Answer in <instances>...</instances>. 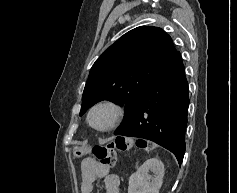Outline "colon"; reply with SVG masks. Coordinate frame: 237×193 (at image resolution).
Here are the masks:
<instances>
[{
	"label": "colon",
	"instance_id": "obj_1",
	"mask_svg": "<svg viewBox=\"0 0 237 193\" xmlns=\"http://www.w3.org/2000/svg\"><path fill=\"white\" fill-rule=\"evenodd\" d=\"M136 146L148 149L142 140H136ZM133 147V140L128 137H117L115 141L107 146H96L92 150L95 160L104 168H113L116 164V151H128Z\"/></svg>",
	"mask_w": 237,
	"mask_h": 193
}]
</instances>
